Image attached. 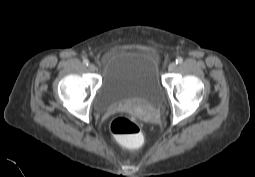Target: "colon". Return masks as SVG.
Returning <instances> with one entry per match:
<instances>
[{
    "mask_svg": "<svg viewBox=\"0 0 255 177\" xmlns=\"http://www.w3.org/2000/svg\"><path fill=\"white\" fill-rule=\"evenodd\" d=\"M111 133L127 147L136 149L142 143V134L138 123L128 117L118 116L111 121Z\"/></svg>",
    "mask_w": 255,
    "mask_h": 177,
    "instance_id": "5ec220e1",
    "label": "colon"
}]
</instances>
